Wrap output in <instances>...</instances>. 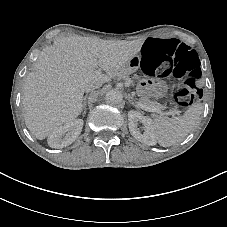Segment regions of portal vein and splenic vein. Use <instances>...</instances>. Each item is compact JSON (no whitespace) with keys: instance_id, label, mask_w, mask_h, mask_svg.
Listing matches in <instances>:
<instances>
[{"instance_id":"portal-vein-and-splenic-vein-1","label":"portal vein and splenic vein","mask_w":227,"mask_h":227,"mask_svg":"<svg viewBox=\"0 0 227 227\" xmlns=\"http://www.w3.org/2000/svg\"><path fill=\"white\" fill-rule=\"evenodd\" d=\"M139 107L145 111H148V112H158L160 113L161 116H177V115H181V112H178L177 110H174V111H161L157 108V107H154V106H146L142 103L139 104Z\"/></svg>"}]
</instances>
